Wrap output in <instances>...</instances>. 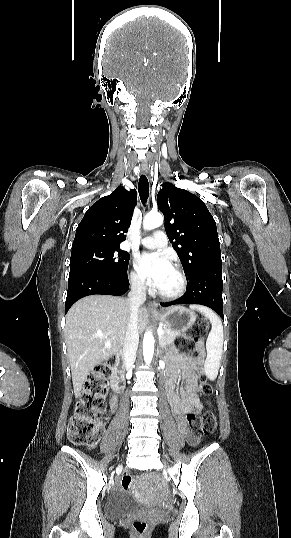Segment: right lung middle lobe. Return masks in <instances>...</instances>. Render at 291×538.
I'll return each mask as SVG.
<instances>
[{
  "mask_svg": "<svg viewBox=\"0 0 291 538\" xmlns=\"http://www.w3.org/2000/svg\"><path fill=\"white\" fill-rule=\"evenodd\" d=\"M129 259V254L119 246L92 245L73 249L69 275L83 271L124 274L127 272Z\"/></svg>",
  "mask_w": 291,
  "mask_h": 538,
  "instance_id": "obj_1",
  "label": "right lung middle lobe"
}]
</instances>
